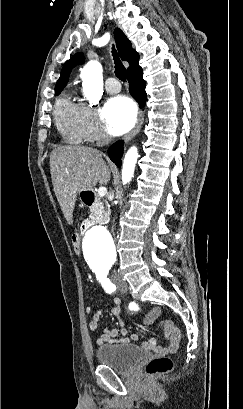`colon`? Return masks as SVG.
I'll return each mask as SVG.
<instances>
[{
  "instance_id": "colon-1",
  "label": "colon",
  "mask_w": 243,
  "mask_h": 409,
  "mask_svg": "<svg viewBox=\"0 0 243 409\" xmlns=\"http://www.w3.org/2000/svg\"><path fill=\"white\" fill-rule=\"evenodd\" d=\"M72 245H73V250L76 254L80 253V238L79 235L74 234L72 236ZM161 314V309L158 307L153 308L152 310L149 311V313L145 316V318L143 319V323L145 324H149L152 323L156 318L159 317V315ZM171 323L173 324V322L169 319L163 320L160 323V326L164 328L165 333L168 334L169 329L166 326L167 323ZM173 368V361L170 357L168 356H161V357H157L152 359L151 361L148 362V364L146 365V374L149 377H156V376H160L163 375L165 373H168L169 371H171Z\"/></svg>"
}]
</instances>
